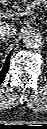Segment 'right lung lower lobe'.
Here are the masks:
<instances>
[{
	"label": "right lung lower lobe",
	"mask_w": 47,
	"mask_h": 129,
	"mask_svg": "<svg viewBox=\"0 0 47 129\" xmlns=\"http://www.w3.org/2000/svg\"><path fill=\"white\" fill-rule=\"evenodd\" d=\"M12 51L9 53V55L7 56V59L5 61L4 67L2 68V70L0 71V83L4 80L6 73L8 72V68H9V58L11 56Z\"/></svg>",
	"instance_id": "obj_1"
}]
</instances>
